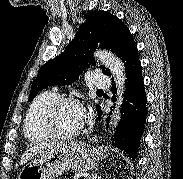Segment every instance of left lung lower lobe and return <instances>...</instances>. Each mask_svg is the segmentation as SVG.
Listing matches in <instances>:
<instances>
[{"instance_id":"left-lung-lower-lobe-1","label":"left lung lower lobe","mask_w":183,"mask_h":179,"mask_svg":"<svg viewBox=\"0 0 183 179\" xmlns=\"http://www.w3.org/2000/svg\"><path fill=\"white\" fill-rule=\"evenodd\" d=\"M116 55L121 57L124 62L127 86L121 108V120L114 137H111L112 145L124 150L129 157L135 159L144 132L147 102L138 50L130 31H127L123 36ZM113 87H115V84H113ZM98 113L100 116L101 111Z\"/></svg>"}]
</instances>
